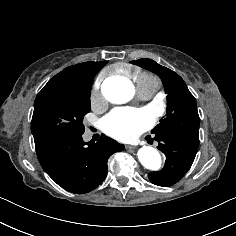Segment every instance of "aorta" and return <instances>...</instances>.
Returning <instances> with one entry per match:
<instances>
[{
    "label": "aorta",
    "instance_id": "1",
    "mask_svg": "<svg viewBox=\"0 0 236 236\" xmlns=\"http://www.w3.org/2000/svg\"><path fill=\"white\" fill-rule=\"evenodd\" d=\"M104 97L115 104L128 102L134 95L133 85L123 77H112L102 85ZM140 163L147 169L156 171L160 169L162 160L159 152L151 146H143L137 153Z\"/></svg>",
    "mask_w": 236,
    "mask_h": 236
}]
</instances>
